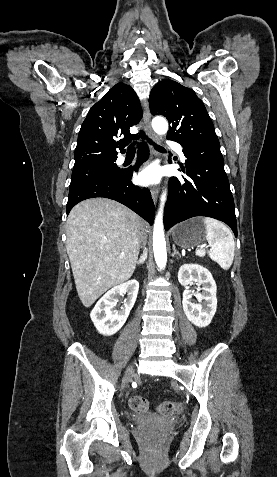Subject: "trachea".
<instances>
[{"label":"trachea","instance_id":"1","mask_svg":"<svg viewBox=\"0 0 277 477\" xmlns=\"http://www.w3.org/2000/svg\"><path fill=\"white\" fill-rule=\"evenodd\" d=\"M141 136L146 138V136H145V134H144L143 131H141ZM148 141H149V143H151L152 145H154V147H155L156 150L165 151V149H164L163 147H161V146H159V145H156V144H155L153 141H151L150 139H148ZM135 150H136V149H135V147H134V144L129 145V147H128V153H134Z\"/></svg>","mask_w":277,"mask_h":477}]
</instances>
